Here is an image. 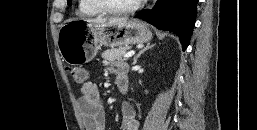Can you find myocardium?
Wrapping results in <instances>:
<instances>
[{"mask_svg":"<svg viewBox=\"0 0 257 130\" xmlns=\"http://www.w3.org/2000/svg\"><path fill=\"white\" fill-rule=\"evenodd\" d=\"M146 0H137L133 5L125 8H115L103 3L102 0H88L89 4L97 10L99 13H106V14H129L133 13L138 10Z\"/></svg>","mask_w":257,"mask_h":130,"instance_id":"1","label":"myocardium"}]
</instances>
